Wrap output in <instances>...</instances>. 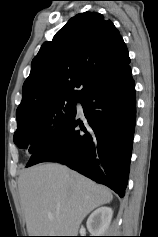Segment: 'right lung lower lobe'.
<instances>
[{
	"label": "right lung lower lobe",
	"instance_id": "obj_1",
	"mask_svg": "<svg viewBox=\"0 0 158 237\" xmlns=\"http://www.w3.org/2000/svg\"><path fill=\"white\" fill-rule=\"evenodd\" d=\"M80 102L85 124L75 114L40 145L27 167L59 162L123 197L136 121L135 84L130 66L94 87Z\"/></svg>",
	"mask_w": 158,
	"mask_h": 237
}]
</instances>
